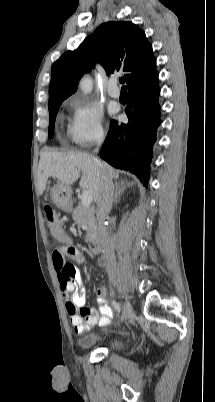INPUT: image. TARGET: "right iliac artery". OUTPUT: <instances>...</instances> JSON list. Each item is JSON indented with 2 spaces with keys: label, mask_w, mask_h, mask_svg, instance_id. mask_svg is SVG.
<instances>
[{
  "label": "right iliac artery",
  "mask_w": 215,
  "mask_h": 402,
  "mask_svg": "<svg viewBox=\"0 0 215 402\" xmlns=\"http://www.w3.org/2000/svg\"><path fill=\"white\" fill-rule=\"evenodd\" d=\"M112 305L118 313L121 311V306L119 303H117L116 301H112Z\"/></svg>",
  "instance_id": "obj_1"
}]
</instances>
